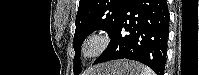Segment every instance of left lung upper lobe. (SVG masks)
<instances>
[{
	"label": "left lung upper lobe",
	"instance_id": "left-lung-upper-lobe-1",
	"mask_svg": "<svg viewBox=\"0 0 199 75\" xmlns=\"http://www.w3.org/2000/svg\"><path fill=\"white\" fill-rule=\"evenodd\" d=\"M127 2L128 0H80L73 42L74 75L81 72L80 55L84 39L98 29L105 30L111 36Z\"/></svg>",
	"mask_w": 199,
	"mask_h": 75
}]
</instances>
